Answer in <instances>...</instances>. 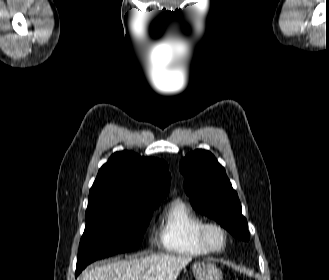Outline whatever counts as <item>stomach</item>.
Listing matches in <instances>:
<instances>
[{"mask_svg":"<svg viewBox=\"0 0 329 280\" xmlns=\"http://www.w3.org/2000/svg\"><path fill=\"white\" fill-rule=\"evenodd\" d=\"M193 273L197 280H221V270L212 262H197L193 265Z\"/></svg>","mask_w":329,"mask_h":280,"instance_id":"0dacf381","label":"stomach"}]
</instances>
